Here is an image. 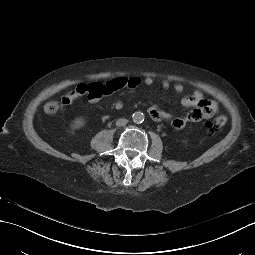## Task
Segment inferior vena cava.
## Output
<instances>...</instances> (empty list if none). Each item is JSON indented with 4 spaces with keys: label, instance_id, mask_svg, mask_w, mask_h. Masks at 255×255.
I'll return each mask as SVG.
<instances>
[{
    "label": "inferior vena cava",
    "instance_id": "obj_1",
    "mask_svg": "<svg viewBox=\"0 0 255 255\" xmlns=\"http://www.w3.org/2000/svg\"><path fill=\"white\" fill-rule=\"evenodd\" d=\"M128 123L127 119L121 118L116 121V126H124Z\"/></svg>",
    "mask_w": 255,
    "mask_h": 255
}]
</instances>
